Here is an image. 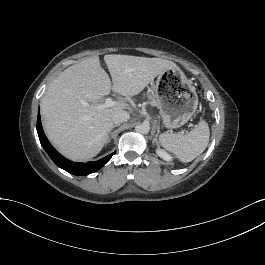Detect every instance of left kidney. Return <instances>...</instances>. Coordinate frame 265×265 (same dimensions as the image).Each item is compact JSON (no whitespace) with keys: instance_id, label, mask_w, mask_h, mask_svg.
<instances>
[{"instance_id":"left-kidney-1","label":"left kidney","mask_w":265,"mask_h":265,"mask_svg":"<svg viewBox=\"0 0 265 265\" xmlns=\"http://www.w3.org/2000/svg\"><path fill=\"white\" fill-rule=\"evenodd\" d=\"M156 153L160 158H162L165 161H171L172 160V157L170 156V154H168L165 150H163L159 147L156 149Z\"/></svg>"}]
</instances>
